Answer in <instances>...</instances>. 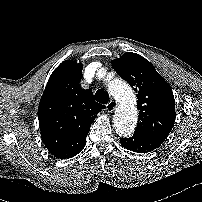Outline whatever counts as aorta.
<instances>
[{
	"mask_svg": "<svg viewBox=\"0 0 202 202\" xmlns=\"http://www.w3.org/2000/svg\"><path fill=\"white\" fill-rule=\"evenodd\" d=\"M109 90L120 102L114 114L116 132L121 136L129 137L134 132L138 121L133 90L126 82L118 79L110 84Z\"/></svg>",
	"mask_w": 202,
	"mask_h": 202,
	"instance_id": "obj_1",
	"label": "aorta"
}]
</instances>
